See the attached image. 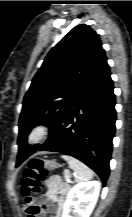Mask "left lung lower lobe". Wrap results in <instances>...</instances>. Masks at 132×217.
Returning a JSON list of instances; mask_svg holds the SVG:
<instances>
[{
	"label": "left lung lower lobe",
	"mask_w": 132,
	"mask_h": 217,
	"mask_svg": "<svg viewBox=\"0 0 132 217\" xmlns=\"http://www.w3.org/2000/svg\"><path fill=\"white\" fill-rule=\"evenodd\" d=\"M107 60L90 82L74 99L48 139L36 151L60 152L73 156L91 169L106 184L112 139L115 134V95ZM19 166L33 153H28L25 142L18 139Z\"/></svg>",
	"instance_id": "left-lung-lower-lobe-1"
}]
</instances>
